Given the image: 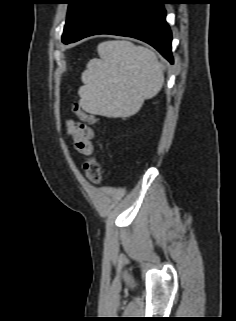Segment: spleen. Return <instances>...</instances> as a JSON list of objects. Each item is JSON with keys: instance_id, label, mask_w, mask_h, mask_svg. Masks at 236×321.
I'll return each mask as SVG.
<instances>
[{"instance_id": "1", "label": "spleen", "mask_w": 236, "mask_h": 321, "mask_svg": "<svg viewBox=\"0 0 236 321\" xmlns=\"http://www.w3.org/2000/svg\"><path fill=\"white\" fill-rule=\"evenodd\" d=\"M97 50L100 59L89 61L78 91L84 111L126 117L160 91L166 67L150 49L128 41H106Z\"/></svg>"}]
</instances>
